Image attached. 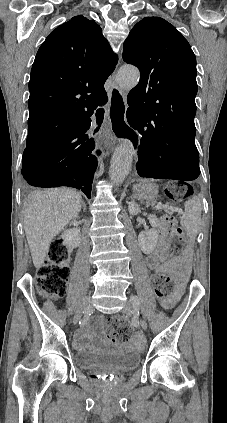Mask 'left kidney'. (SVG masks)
Instances as JSON below:
<instances>
[{
	"mask_svg": "<svg viewBox=\"0 0 227 423\" xmlns=\"http://www.w3.org/2000/svg\"><path fill=\"white\" fill-rule=\"evenodd\" d=\"M128 210H129V213H131V215H137V213H139L140 211V208L138 204H135V202H130L128 206ZM148 219L152 225V229H146V231H140L138 235L139 245L142 251H144V253H151V251L155 249L157 245V241H158V235H159V231L158 229H156L158 225V221H159L157 215H153V213H150Z\"/></svg>",
	"mask_w": 227,
	"mask_h": 423,
	"instance_id": "5707ae66",
	"label": "left kidney"
}]
</instances>
